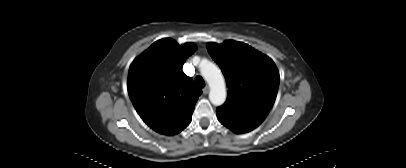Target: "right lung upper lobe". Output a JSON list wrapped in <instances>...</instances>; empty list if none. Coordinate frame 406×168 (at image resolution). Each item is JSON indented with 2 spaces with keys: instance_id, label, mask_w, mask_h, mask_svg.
Here are the masks:
<instances>
[{
  "instance_id": "1",
  "label": "right lung upper lobe",
  "mask_w": 406,
  "mask_h": 168,
  "mask_svg": "<svg viewBox=\"0 0 406 168\" xmlns=\"http://www.w3.org/2000/svg\"><path fill=\"white\" fill-rule=\"evenodd\" d=\"M195 50L193 43L180 46L165 38L152 44L130 66V99L143 121L161 134H177L192 119L202 91L183 73L182 66Z\"/></svg>"
}]
</instances>
